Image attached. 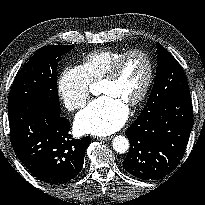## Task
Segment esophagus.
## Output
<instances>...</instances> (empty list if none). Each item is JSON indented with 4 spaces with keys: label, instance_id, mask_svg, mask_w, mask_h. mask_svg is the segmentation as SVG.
Instances as JSON below:
<instances>
[{
    "label": "esophagus",
    "instance_id": "esophagus-1",
    "mask_svg": "<svg viewBox=\"0 0 205 205\" xmlns=\"http://www.w3.org/2000/svg\"><path fill=\"white\" fill-rule=\"evenodd\" d=\"M111 139H112V136L100 138L101 141H108V140H111Z\"/></svg>",
    "mask_w": 205,
    "mask_h": 205
}]
</instances>
